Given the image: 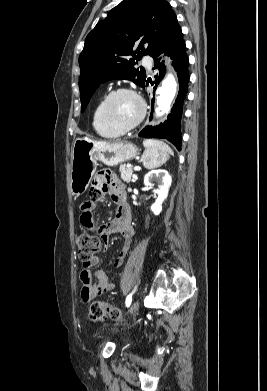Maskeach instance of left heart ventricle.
<instances>
[{"mask_svg":"<svg viewBox=\"0 0 267 391\" xmlns=\"http://www.w3.org/2000/svg\"><path fill=\"white\" fill-rule=\"evenodd\" d=\"M108 112L113 122L121 126H127L138 117L140 105L131 94L121 93L111 99Z\"/></svg>","mask_w":267,"mask_h":391,"instance_id":"left-heart-ventricle-1","label":"left heart ventricle"}]
</instances>
